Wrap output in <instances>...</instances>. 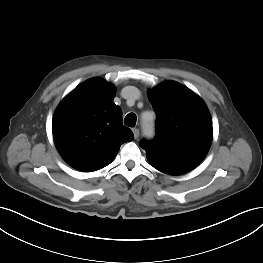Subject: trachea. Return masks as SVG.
I'll return each mask as SVG.
<instances>
[{
	"mask_svg": "<svg viewBox=\"0 0 263 263\" xmlns=\"http://www.w3.org/2000/svg\"><path fill=\"white\" fill-rule=\"evenodd\" d=\"M124 124L129 127H134L136 125V115L129 113L124 119Z\"/></svg>",
	"mask_w": 263,
	"mask_h": 263,
	"instance_id": "3493384b",
	"label": "trachea"
}]
</instances>
